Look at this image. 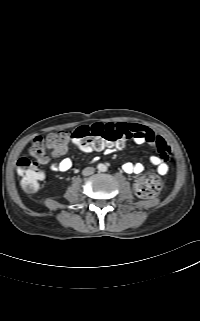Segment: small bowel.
Returning a JSON list of instances; mask_svg holds the SVG:
<instances>
[{"instance_id": "c3829d8e", "label": "small bowel", "mask_w": 200, "mask_h": 321, "mask_svg": "<svg viewBox=\"0 0 200 321\" xmlns=\"http://www.w3.org/2000/svg\"><path fill=\"white\" fill-rule=\"evenodd\" d=\"M114 128L125 127L131 134V139L138 145L149 144L157 149V153L150 157L151 164L155 167L154 171L160 175H165L168 172L167 161L169 159L170 149L167 146L164 138L150 129L147 126L137 123H117L106 124ZM108 148L115 147L114 145H107ZM103 149V148H102ZM66 152V146L58 153L54 154V157H60ZM49 160V159H48ZM45 161L44 163L48 162ZM72 167V161L69 158H62L58 162H51L50 168L55 172H68ZM122 169L127 174H140L144 171V165L141 162H126L122 165Z\"/></svg>"}]
</instances>
